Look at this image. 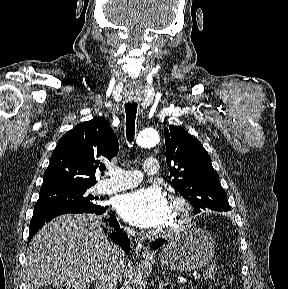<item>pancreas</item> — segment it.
Masks as SVG:
<instances>
[{
    "label": "pancreas",
    "mask_w": 288,
    "mask_h": 289,
    "mask_svg": "<svg viewBox=\"0 0 288 289\" xmlns=\"http://www.w3.org/2000/svg\"><path fill=\"white\" fill-rule=\"evenodd\" d=\"M211 272H212L211 269H208V270H206L205 273H207V275L210 276Z\"/></svg>",
    "instance_id": "obj_1"
}]
</instances>
